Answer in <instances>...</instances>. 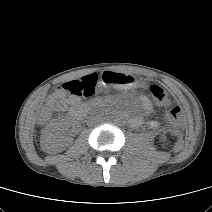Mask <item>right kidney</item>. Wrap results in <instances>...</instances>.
<instances>
[{
  "instance_id": "right-kidney-1",
  "label": "right kidney",
  "mask_w": 212,
  "mask_h": 212,
  "mask_svg": "<svg viewBox=\"0 0 212 212\" xmlns=\"http://www.w3.org/2000/svg\"><path fill=\"white\" fill-rule=\"evenodd\" d=\"M61 134L58 131L55 130H48L46 132L45 137L42 140V146L43 147H48V146H54L58 144L61 141Z\"/></svg>"
}]
</instances>
